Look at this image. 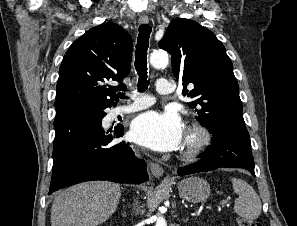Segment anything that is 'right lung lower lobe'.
I'll use <instances>...</instances> for the list:
<instances>
[{"instance_id": "98d812e1", "label": "right lung lower lobe", "mask_w": 297, "mask_h": 226, "mask_svg": "<svg viewBox=\"0 0 297 226\" xmlns=\"http://www.w3.org/2000/svg\"><path fill=\"white\" fill-rule=\"evenodd\" d=\"M104 109L83 105L57 113L49 195L84 181L143 183L148 180L146 163L134 156L130 144H112L123 136V127L112 134L102 129Z\"/></svg>"}]
</instances>
